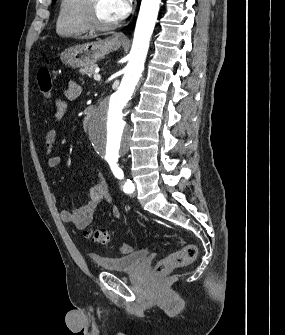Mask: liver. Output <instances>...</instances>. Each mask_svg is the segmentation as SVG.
Here are the masks:
<instances>
[{
	"mask_svg": "<svg viewBox=\"0 0 285 335\" xmlns=\"http://www.w3.org/2000/svg\"><path fill=\"white\" fill-rule=\"evenodd\" d=\"M90 36H82L81 40H89Z\"/></svg>",
	"mask_w": 285,
	"mask_h": 335,
	"instance_id": "liver-1",
	"label": "liver"
}]
</instances>
